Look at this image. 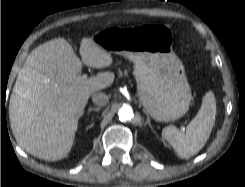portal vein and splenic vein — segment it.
<instances>
[{
	"instance_id": "1",
	"label": "portal vein and splenic vein",
	"mask_w": 245,
	"mask_h": 187,
	"mask_svg": "<svg viewBox=\"0 0 245 187\" xmlns=\"http://www.w3.org/2000/svg\"><path fill=\"white\" fill-rule=\"evenodd\" d=\"M83 77H84V78H86V77H87V75H83Z\"/></svg>"
}]
</instances>
